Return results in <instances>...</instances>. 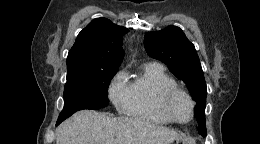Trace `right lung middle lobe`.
<instances>
[{
	"label": "right lung middle lobe",
	"mask_w": 260,
	"mask_h": 144,
	"mask_svg": "<svg viewBox=\"0 0 260 144\" xmlns=\"http://www.w3.org/2000/svg\"><path fill=\"white\" fill-rule=\"evenodd\" d=\"M118 69L67 74L64 108L57 123L82 109L96 110L108 105V86Z\"/></svg>",
	"instance_id": "right-lung-middle-lobe-1"
}]
</instances>
